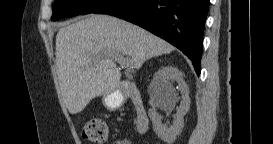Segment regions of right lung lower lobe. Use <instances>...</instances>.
<instances>
[{"instance_id": "1", "label": "right lung lower lobe", "mask_w": 273, "mask_h": 144, "mask_svg": "<svg viewBox=\"0 0 273 144\" xmlns=\"http://www.w3.org/2000/svg\"><path fill=\"white\" fill-rule=\"evenodd\" d=\"M209 0H109L94 14L112 15L167 40L201 71L203 32Z\"/></svg>"}]
</instances>
